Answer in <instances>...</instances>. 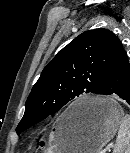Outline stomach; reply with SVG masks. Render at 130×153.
I'll return each instance as SVG.
<instances>
[{"label":"stomach","instance_id":"1","mask_svg":"<svg viewBox=\"0 0 130 153\" xmlns=\"http://www.w3.org/2000/svg\"><path fill=\"white\" fill-rule=\"evenodd\" d=\"M86 109L82 115L77 111ZM124 116L110 97H88L73 102L51 131V153H100L114 137Z\"/></svg>","mask_w":130,"mask_h":153}]
</instances>
